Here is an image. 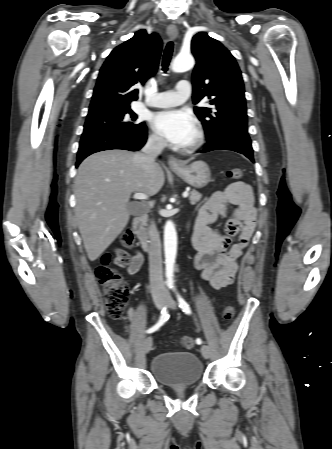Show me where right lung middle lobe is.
I'll return each mask as SVG.
<instances>
[{
	"mask_svg": "<svg viewBox=\"0 0 332 449\" xmlns=\"http://www.w3.org/2000/svg\"><path fill=\"white\" fill-rule=\"evenodd\" d=\"M137 115L130 107L122 109H106L89 112L84 125L83 137L96 134L114 133L132 135L140 132L146 126L137 124Z\"/></svg>",
	"mask_w": 332,
	"mask_h": 449,
	"instance_id": "1",
	"label": "right lung middle lobe"
}]
</instances>
